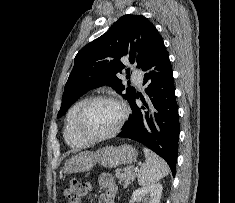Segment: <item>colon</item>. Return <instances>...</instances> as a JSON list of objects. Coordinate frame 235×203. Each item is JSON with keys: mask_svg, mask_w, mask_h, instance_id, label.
<instances>
[{"mask_svg": "<svg viewBox=\"0 0 235 203\" xmlns=\"http://www.w3.org/2000/svg\"><path fill=\"white\" fill-rule=\"evenodd\" d=\"M89 190L90 185L88 183L76 179L72 180L64 191L67 203H80Z\"/></svg>", "mask_w": 235, "mask_h": 203, "instance_id": "colon-1", "label": "colon"}]
</instances>
